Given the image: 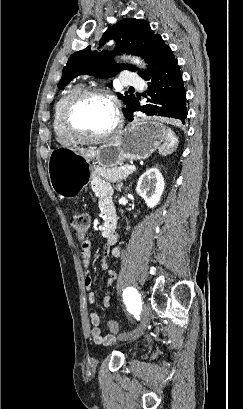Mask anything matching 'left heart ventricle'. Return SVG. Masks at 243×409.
Returning a JSON list of instances; mask_svg holds the SVG:
<instances>
[{
	"instance_id": "b2bd125f",
	"label": "left heart ventricle",
	"mask_w": 243,
	"mask_h": 409,
	"mask_svg": "<svg viewBox=\"0 0 243 409\" xmlns=\"http://www.w3.org/2000/svg\"><path fill=\"white\" fill-rule=\"evenodd\" d=\"M74 122L85 134L98 135L113 126L114 116L107 102L98 98H88L77 105Z\"/></svg>"
}]
</instances>
